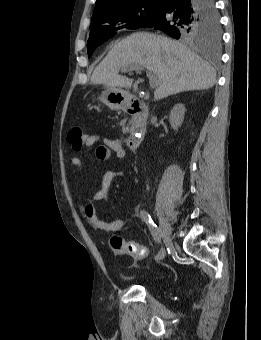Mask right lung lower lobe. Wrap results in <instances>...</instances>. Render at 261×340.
Here are the masks:
<instances>
[{"instance_id":"1","label":"right lung lower lobe","mask_w":261,"mask_h":340,"mask_svg":"<svg viewBox=\"0 0 261 340\" xmlns=\"http://www.w3.org/2000/svg\"><path fill=\"white\" fill-rule=\"evenodd\" d=\"M216 12L215 0H163L159 12L143 28L158 29L177 39L179 27L191 15Z\"/></svg>"}]
</instances>
